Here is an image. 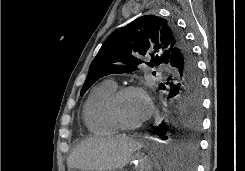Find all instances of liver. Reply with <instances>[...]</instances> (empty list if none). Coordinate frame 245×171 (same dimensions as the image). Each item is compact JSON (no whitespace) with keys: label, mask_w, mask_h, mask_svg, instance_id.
<instances>
[{"label":"liver","mask_w":245,"mask_h":171,"mask_svg":"<svg viewBox=\"0 0 245 171\" xmlns=\"http://www.w3.org/2000/svg\"><path fill=\"white\" fill-rule=\"evenodd\" d=\"M141 147L140 142L125 135L90 137L73 150L67 166L82 171H115L126 166Z\"/></svg>","instance_id":"obj_1"}]
</instances>
